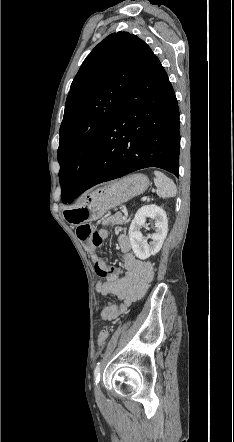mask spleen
Masks as SVG:
<instances>
[{"label": "spleen", "mask_w": 234, "mask_h": 442, "mask_svg": "<svg viewBox=\"0 0 234 442\" xmlns=\"http://www.w3.org/2000/svg\"><path fill=\"white\" fill-rule=\"evenodd\" d=\"M154 183L157 187V195L161 198L175 197L177 193L176 185L173 180L167 177L161 171H154Z\"/></svg>", "instance_id": "obj_1"}]
</instances>
